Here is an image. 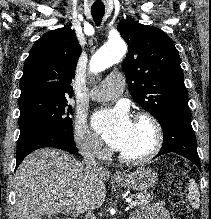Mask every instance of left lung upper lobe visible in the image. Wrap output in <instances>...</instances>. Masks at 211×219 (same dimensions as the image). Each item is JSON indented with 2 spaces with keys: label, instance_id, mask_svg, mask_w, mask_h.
Returning a JSON list of instances; mask_svg holds the SVG:
<instances>
[{
  "label": "left lung upper lobe",
  "instance_id": "left-lung-upper-lobe-1",
  "mask_svg": "<svg viewBox=\"0 0 211 219\" xmlns=\"http://www.w3.org/2000/svg\"><path fill=\"white\" fill-rule=\"evenodd\" d=\"M117 29L128 44L123 70L136 102L161 123L173 111H190L188 93L173 41L160 29L121 21Z\"/></svg>",
  "mask_w": 211,
  "mask_h": 219
}]
</instances>
